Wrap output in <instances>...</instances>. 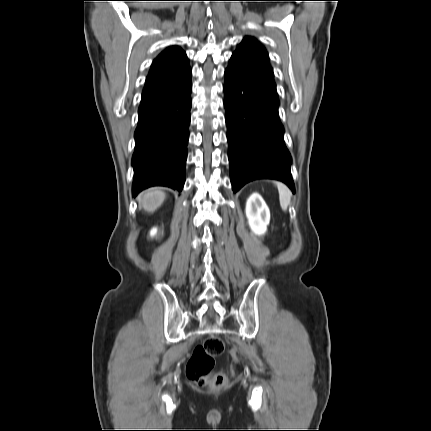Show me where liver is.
<instances>
[{"mask_svg": "<svg viewBox=\"0 0 431 431\" xmlns=\"http://www.w3.org/2000/svg\"><path fill=\"white\" fill-rule=\"evenodd\" d=\"M165 199L166 194L160 188L145 190L138 197L142 208L148 213L156 211L163 204Z\"/></svg>", "mask_w": 431, "mask_h": 431, "instance_id": "1", "label": "liver"}]
</instances>
